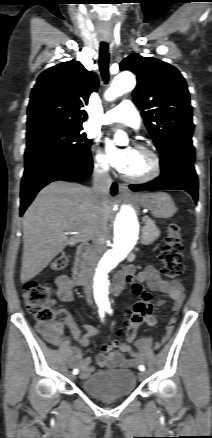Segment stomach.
<instances>
[{
    "label": "stomach",
    "instance_id": "obj_1",
    "mask_svg": "<svg viewBox=\"0 0 212 438\" xmlns=\"http://www.w3.org/2000/svg\"><path fill=\"white\" fill-rule=\"evenodd\" d=\"M138 202L158 218H170L177 210L171 197L163 192L142 194Z\"/></svg>",
    "mask_w": 212,
    "mask_h": 438
}]
</instances>
